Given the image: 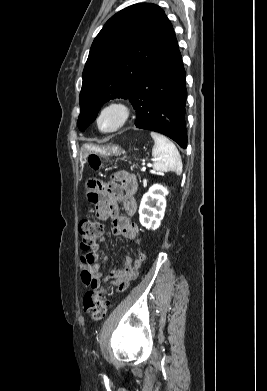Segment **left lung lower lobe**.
Wrapping results in <instances>:
<instances>
[{"label":"left lung lower lobe","mask_w":267,"mask_h":391,"mask_svg":"<svg viewBox=\"0 0 267 391\" xmlns=\"http://www.w3.org/2000/svg\"><path fill=\"white\" fill-rule=\"evenodd\" d=\"M185 70L176 37L155 58L129 100L137 111L138 128L162 133L187 147Z\"/></svg>","instance_id":"obj_1"}]
</instances>
